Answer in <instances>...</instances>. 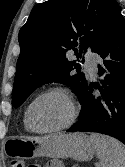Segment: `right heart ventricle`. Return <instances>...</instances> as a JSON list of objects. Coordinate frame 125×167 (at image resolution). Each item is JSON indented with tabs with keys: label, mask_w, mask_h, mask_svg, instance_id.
I'll use <instances>...</instances> for the list:
<instances>
[{
	"label": "right heart ventricle",
	"mask_w": 125,
	"mask_h": 167,
	"mask_svg": "<svg viewBox=\"0 0 125 167\" xmlns=\"http://www.w3.org/2000/svg\"><path fill=\"white\" fill-rule=\"evenodd\" d=\"M23 123H24V127H25L26 129H29V128H28V125H27L26 118H25V113H24Z\"/></svg>",
	"instance_id": "right-heart-ventricle-1"
}]
</instances>
